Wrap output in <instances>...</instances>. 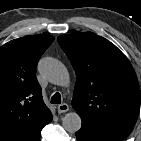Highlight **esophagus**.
<instances>
[{
	"label": "esophagus",
	"mask_w": 141,
	"mask_h": 141,
	"mask_svg": "<svg viewBox=\"0 0 141 141\" xmlns=\"http://www.w3.org/2000/svg\"><path fill=\"white\" fill-rule=\"evenodd\" d=\"M58 113H65L67 111H69V106L66 103L60 104L57 107Z\"/></svg>",
	"instance_id": "esophagus-1"
}]
</instances>
